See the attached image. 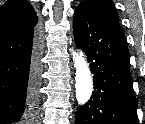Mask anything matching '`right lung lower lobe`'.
<instances>
[{
  "label": "right lung lower lobe",
  "mask_w": 145,
  "mask_h": 124,
  "mask_svg": "<svg viewBox=\"0 0 145 124\" xmlns=\"http://www.w3.org/2000/svg\"><path fill=\"white\" fill-rule=\"evenodd\" d=\"M40 54L37 27L0 34V124H23L35 116Z\"/></svg>",
  "instance_id": "98d812e1"
}]
</instances>
